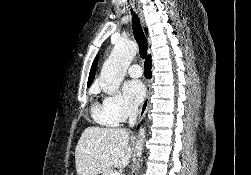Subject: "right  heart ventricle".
<instances>
[{
    "label": "right heart ventricle",
    "mask_w": 251,
    "mask_h": 175,
    "mask_svg": "<svg viewBox=\"0 0 251 175\" xmlns=\"http://www.w3.org/2000/svg\"><path fill=\"white\" fill-rule=\"evenodd\" d=\"M92 113H93V117L94 119L99 122L102 125H106L109 127H115L116 124L113 123L112 121H110L104 114L102 107H99L97 105H94L92 107Z\"/></svg>",
    "instance_id": "e07e8e85"
}]
</instances>
